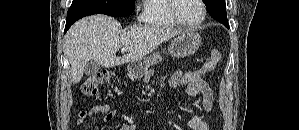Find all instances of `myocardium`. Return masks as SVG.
<instances>
[{
  "mask_svg": "<svg viewBox=\"0 0 299 130\" xmlns=\"http://www.w3.org/2000/svg\"><path fill=\"white\" fill-rule=\"evenodd\" d=\"M177 1L178 0H170L169 1L170 14H171L172 18L176 21V23H178L179 25H182L184 27H187V28H195V27L200 26L205 21L206 16H207V7H206L204 0H198L201 5V8H202V16L196 22H187L179 16V14L177 12Z\"/></svg>",
  "mask_w": 299,
  "mask_h": 130,
  "instance_id": "obj_1",
  "label": "myocardium"
}]
</instances>
